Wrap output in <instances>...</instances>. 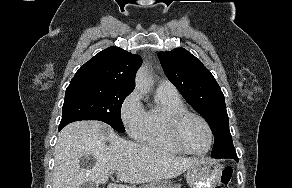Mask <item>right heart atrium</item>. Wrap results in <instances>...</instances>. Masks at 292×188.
Returning a JSON list of instances; mask_svg holds the SVG:
<instances>
[{
  "label": "right heart atrium",
  "mask_w": 292,
  "mask_h": 188,
  "mask_svg": "<svg viewBox=\"0 0 292 188\" xmlns=\"http://www.w3.org/2000/svg\"><path fill=\"white\" fill-rule=\"evenodd\" d=\"M120 118L128 134L136 137L144 122L145 110L137 90L129 93L120 105Z\"/></svg>",
  "instance_id": "obj_1"
}]
</instances>
